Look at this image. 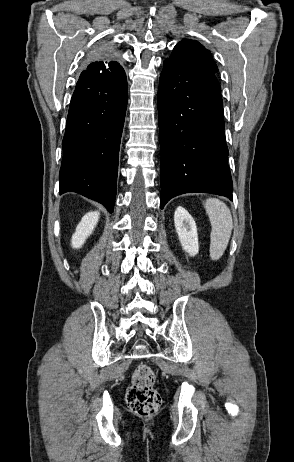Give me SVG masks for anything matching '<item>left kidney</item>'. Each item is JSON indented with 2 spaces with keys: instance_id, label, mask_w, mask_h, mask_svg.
Masks as SVG:
<instances>
[{
  "instance_id": "5707ae66",
  "label": "left kidney",
  "mask_w": 294,
  "mask_h": 462,
  "mask_svg": "<svg viewBox=\"0 0 294 462\" xmlns=\"http://www.w3.org/2000/svg\"><path fill=\"white\" fill-rule=\"evenodd\" d=\"M176 233L183 250L190 256L199 252L198 234L194 219L183 207H178L174 213Z\"/></svg>"
}]
</instances>
